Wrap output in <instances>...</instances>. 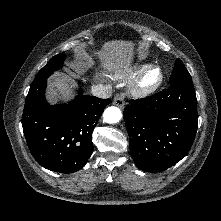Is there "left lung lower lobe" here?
Returning <instances> with one entry per match:
<instances>
[{"instance_id":"left-lung-lower-lobe-1","label":"left lung lower lobe","mask_w":221,"mask_h":221,"mask_svg":"<svg viewBox=\"0 0 221 221\" xmlns=\"http://www.w3.org/2000/svg\"><path fill=\"white\" fill-rule=\"evenodd\" d=\"M192 79H180L124 109L129 147L142 171L166 170L184 158L195 139L198 114Z\"/></svg>"}]
</instances>
